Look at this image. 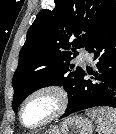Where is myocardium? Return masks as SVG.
Segmentation results:
<instances>
[{
  "instance_id": "obj_1",
  "label": "myocardium",
  "mask_w": 116,
  "mask_h": 134,
  "mask_svg": "<svg viewBox=\"0 0 116 134\" xmlns=\"http://www.w3.org/2000/svg\"><path fill=\"white\" fill-rule=\"evenodd\" d=\"M50 95L55 100L54 110L39 123L28 125L24 121L23 113L26 105L36 96ZM68 106V94L65 89L57 84H47L32 90L22 101L19 107V121L29 129H36L50 124L51 122L59 119L66 111Z\"/></svg>"
}]
</instances>
